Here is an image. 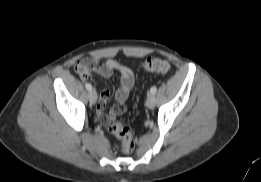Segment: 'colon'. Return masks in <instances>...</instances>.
<instances>
[{
  "mask_svg": "<svg viewBox=\"0 0 261 182\" xmlns=\"http://www.w3.org/2000/svg\"><path fill=\"white\" fill-rule=\"evenodd\" d=\"M143 67L148 72L167 73L170 70L171 65L165 59L148 58L144 62ZM75 71L80 76H86L89 74L88 66L82 61L75 65ZM108 129L119 139L120 142L118 144V148L120 151L126 154H130L134 151L135 139L131 129L128 126L124 125L118 120L113 119L110 122Z\"/></svg>",
  "mask_w": 261,
  "mask_h": 182,
  "instance_id": "colon-1",
  "label": "colon"
}]
</instances>
